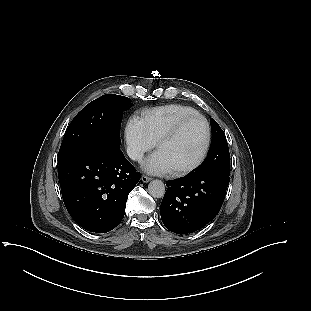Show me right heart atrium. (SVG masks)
<instances>
[{
    "label": "right heart atrium",
    "instance_id": "right-heart-atrium-1",
    "mask_svg": "<svg viewBox=\"0 0 311 311\" xmlns=\"http://www.w3.org/2000/svg\"><path fill=\"white\" fill-rule=\"evenodd\" d=\"M124 134L127 153L134 161H141L144 155L155 146L141 119L135 116L130 117L126 122Z\"/></svg>",
    "mask_w": 311,
    "mask_h": 311
}]
</instances>
